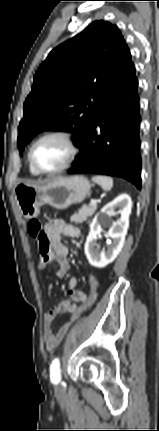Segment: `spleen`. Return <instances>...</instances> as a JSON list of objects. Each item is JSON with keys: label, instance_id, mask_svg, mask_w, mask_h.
<instances>
[{"label": "spleen", "instance_id": "1", "mask_svg": "<svg viewBox=\"0 0 159 431\" xmlns=\"http://www.w3.org/2000/svg\"><path fill=\"white\" fill-rule=\"evenodd\" d=\"M92 181L100 185L104 191H110L113 187V179L108 176H93Z\"/></svg>", "mask_w": 159, "mask_h": 431}]
</instances>
